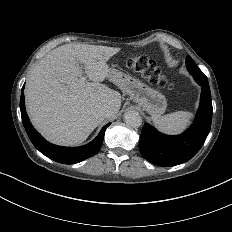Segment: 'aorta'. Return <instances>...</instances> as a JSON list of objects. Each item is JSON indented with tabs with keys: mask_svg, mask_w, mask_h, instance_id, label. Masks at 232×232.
<instances>
[{
	"mask_svg": "<svg viewBox=\"0 0 232 232\" xmlns=\"http://www.w3.org/2000/svg\"><path fill=\"white\" fill-rule=\"evenodd\" d=\"M124 122L133 128H138L142 124V117L136 111H127L124 113Z\"/></svg>",
	"mask_w": 232,
	"mask_h": 232,
	"instance_id": "aorta-1",
	"label": "aorta"
}]
</instances>
